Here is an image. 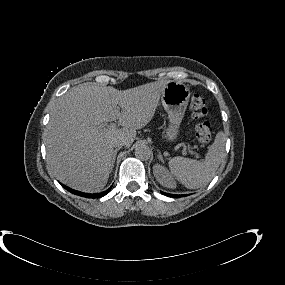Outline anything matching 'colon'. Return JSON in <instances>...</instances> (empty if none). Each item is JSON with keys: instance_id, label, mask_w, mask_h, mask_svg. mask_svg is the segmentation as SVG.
Here are the masks:
<instances>
[{"instance_id": "colon-1", "label": "colon", "mask_w": 285, "mask_h": 285, "mask_svg": "<svg viewBox=\"0 0 285 285\" xmlns=\"http://www.w3.org/2000/svg\"><path fill=\"white\" fill-rule=\"evenodd\" d=\"M190 111L192 116L198 121L196 125V137L202 144H208L211 140V125L206 120L208 110L206 100L203 96L195 94L190 100Z\"/></svg>"}]
</instances>
